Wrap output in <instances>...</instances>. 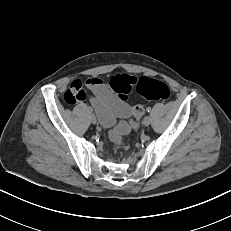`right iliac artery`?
Listing matches in <instances>:
<instances>
[{
	"label": "right iliac artery",
	"mask_w": 231,
	"mask_h": 231,
	"mask_svg": "<svg viewBox=\"0 0 231 231\" xmlns=\"http://www.w3.org/2000/svg\"><path fill=\"white\" fill-rule=\"evenodd\" d=\"M88 110H89V112H90V113L93 111V109H92V108H90V107H89V109H88Z\"/></svg>",
	"instance_id": "right-iliac-artery-1"
}]
</instances>
